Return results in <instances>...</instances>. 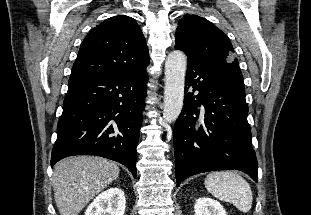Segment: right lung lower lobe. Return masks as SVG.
<instances>
[{
    "mask_svg": "<svg viewBox=\"0 0 311 215\" xmlns=\"http://www.w3.org/2000/svg\"><path fill=\"white\" fill-rule=\"evenodd\" d=\"M147 80L146 70L131 75H71L51 166L72 155H97L125 165L136 177Z\"/></svg>",
    "mask_w": 311,
    "mask_h": 215,
    "instance_id": "98d812e1",
    "label": "right lung lower lobe"
}]
</instances>
